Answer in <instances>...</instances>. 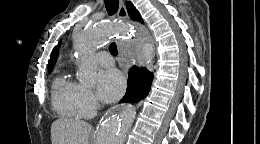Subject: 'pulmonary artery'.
<instances>
[{
  "label": "pulmonary artery",
  "mask_w": 260,
  "mask_h": 144,
  "mask_svg": "<svg viewBox=\"0 0 260 144\" xmlns=\"http://www.w3.org/2000/svg\"><path fill=\"white\" fill-rule=\"evenodd\" d=\"M95 59L97 60L98 64L104 68H109L114 64L112 56L105 51L97 53Z\"/></svg>",
  "instance_id": "pulmonary-artery-1"
}]
</instances>
